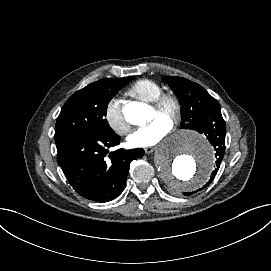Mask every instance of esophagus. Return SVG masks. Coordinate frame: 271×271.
<instances>
[{
  "label": "esophagus",
  "instance_id": "esophagus-1",
  "mask_svg": "<svg viewBox=\"0 0 271 271\" xmlns=\"http://www.w3.org/2000/svg\"><path fill=\"white\" fill-rule=\"evenodd\" d=\"M155 149H156V147H154V146H149V147L144 148L146 154H150V153L154 152Z\"/></svg>",
  "mask_w": 271,
  "mask_h": 271
}]
</instances>
